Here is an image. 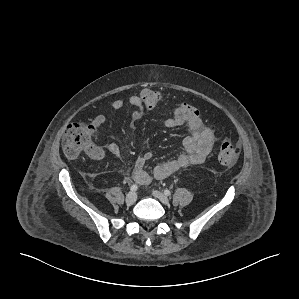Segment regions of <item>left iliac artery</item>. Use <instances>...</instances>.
<instances>
[{"instance_id": "44dca946", "label": "left iliac artery", "mask_w": 299, "mask_h": 299, "mask_svg": "<svg viewBox=\"0 0 299 299\" xmlns=\"http://www.w3.org/2000/svg\"><path fill=\"white\" fill-rule=\"evenodd\" d=\"M164 194L167 195V196H169L171 194V192L168 189H165L164 190Z\"/></svg>"}]
</instances>
